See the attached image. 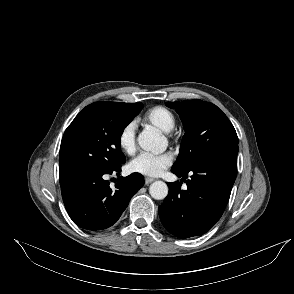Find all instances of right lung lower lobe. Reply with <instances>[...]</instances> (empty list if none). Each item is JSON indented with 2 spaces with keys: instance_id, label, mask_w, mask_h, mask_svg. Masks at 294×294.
<instances>
[{
  "instance_id": "obj_1",
  "label": "right lung lower lobe",
  "mask_w": 294,
  "mask_h": 294,
  "mask_svg": "<svg viewBox=\"0 0 294 294\" xmlns=\"http://www.w3.org/2000/svg\"><path fill=\"white\" fill-rule=\"evenodd\" d=\"M121 171V164L112 170H91L60 176L65 208L75 224L88 230L112 226L126 209L131 197L144 185V177L132 173L119 177L115 189L106 180L108 174Z\"/></svg>"
}]
</instances>
